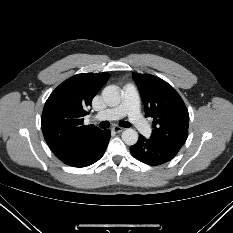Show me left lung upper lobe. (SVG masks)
Instances as JSON below:
<instances>
[{
    "instance_id": "5c2ea615",
    "label": "left lung upper lobe",
    "mask_w": 233,
    "mask_h": 233,
    "mask_svg": "<svg viewBox=\"0 0 233 233\" xmlns=\"http://www.w3.org/2000/svg\"><path fill=\"white\" fill-rule=\"evenodd\" d=\"M145 105V113L152 117L153 143L179 151L188 136V110L167 82L153 75L132 74Z\"/></svg>"
}]
</instances>
